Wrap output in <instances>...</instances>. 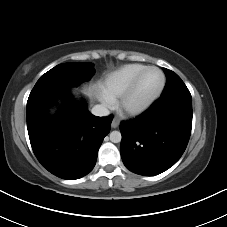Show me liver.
I'll return each mask as SVG.
<instances>
[{"label":"liver","mask_w":227,"mask_h":227,"mask_svg":"<svg viewBox=\"0 0 227 227\" xmlns=\"http://www.w3.org/2000/svg\"><path fill=\"white\" fill-rule=\"evenodd\" d=\"M91 92H92L91 89H88L87 94L91 95Z\"/></svg>","instance_id":"6515ba94"}]
</instances>
